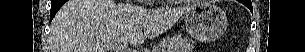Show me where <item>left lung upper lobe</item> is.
Segmentation results:
<instances>
[{"label": "left lung upper lobe", "mask_w": 305, "mask_h": 52, "mask_svg": "<svg viewBox=\"0 0 305 52\" xmlns=\"http://www.w3.org/2000/svg\"><path fill=\"white\" fill-rule=\"evenodd\" d=\"M240 2L243 3L245 6H247L250 9V11L253 10L252 9V4H251V0H242Z\"/></svg>", "instance_id": "5c2ea615"}]
</instances>
